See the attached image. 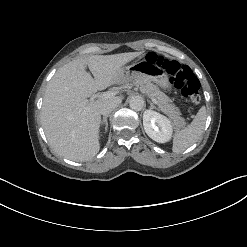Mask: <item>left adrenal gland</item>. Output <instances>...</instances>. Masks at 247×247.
Masks as SVG:
<instances>
[{
	"mask_svg": "<svg viewBox=\"0 0 247 247\" xmlns=\"http://www.w3.org/2000/svg\"><path fill=\"white\" fill-rule=\"evenodd\" d=\"M149 103H150V108L151 109H157L152 102L149 101Z\"/></svg>",
	"mask_w": 247,
	"mask_h": 247,
	"instance_id": "left-adrenal-gland-1",
	"label": "left adrenal gland"
}]
</instances>
